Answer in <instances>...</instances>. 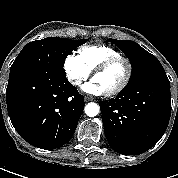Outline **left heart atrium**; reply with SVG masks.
Segmentation results:
<instances>
[{"instance_id": "obj_1", "label": "left heart atrium", "mask_w": 178, "mask_h": 178, "mask_svg": "<svg viewBox=\"0 0 178 178\" xmlns=\"http://www.w3.org/2000/svg\"><path fill=\"white\" fill-rule=\"evenodd\" d=\"M83 91L91 95H101L105 93L102 86L94 79L82 87Z\"/></svg>"}]
</instances>
